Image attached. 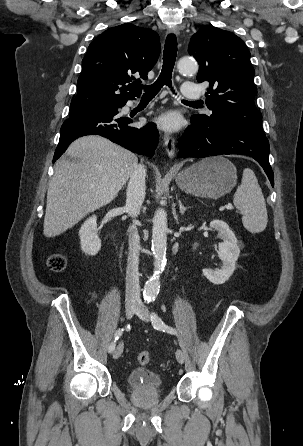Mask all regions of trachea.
I'll list each match as a JSON object with an SVG mask.
<instances>
[{"mask_svg":"<svg viewBox=\"0 0 303 446\" xmlns=\"http://www.w3.org/2000/svg\"><path fill=\"white\" fill-rule=\"evenodd\" d=\"M176 54H177V39L175 34L171 33L168 34L165 41V46L163 51L162 71L158 79L153 84L145 85L143 87L145 92L143 97H155V95L161 90V88L164 85H167L173 91L171 78H172V71L176 61ZM173 93H175V91H173ZM185 102L194 104L200 103L199 101H194V102L185 101Z\"/></svg>","mask_w":303,"mask_h":446,"instance_id":"obj_1","label":"trachea"}]
</instances>
